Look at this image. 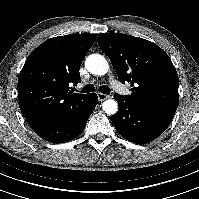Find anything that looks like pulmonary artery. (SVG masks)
Masks as SVG:
<instances>
[{
	"label": "pulmonary artery",
	"instance_id": "pulmonary-artery-1",
	"mask_svg": "<svg viewBox=\"0 0 199 199\" xmlns=\"http://www.w3.org/2000/svg\"><path fill=\"white\" fill-rule=\"evenodd\" d=\"M112 85H113V87H114L117 91H119V92H122V91H123V90H122V87L118 86V84H116V83L113 82V81H112Z\"/></svg>",
	"mask_w": 199,
	"mask_h": 199
}]
</instances>
